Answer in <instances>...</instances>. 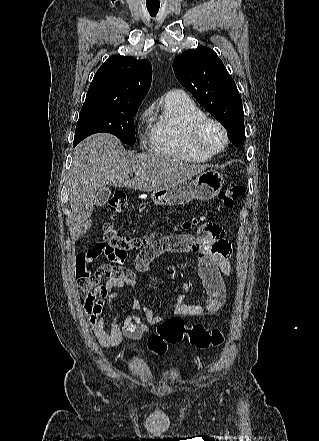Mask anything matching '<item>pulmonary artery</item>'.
I'll use <instances>...</instances> for the list:
<instances>
[{
    "mask_svg": "<svg viewBox=\"0 0 319 441\" xmlns=\"http://www.w3.org/2000/svg\"><path fill=\"white\" fill-rule=\"evenodd\" d=\"M167 95L168 96H183L184 93L181 90H172Z\"/></svg>",
    "mask_w": 319,
    "mask_h": 441,
    "instance_id": "1",
    "label": "pulmonary artery"
}]
</instances>
